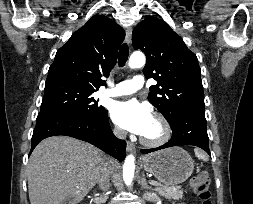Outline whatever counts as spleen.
<instances>
[{
    "mask_svg": "<svg viewBox=\"0 0 253 204\" xmlns=\"http://www.w3.org/2000/svg\"><path fill=\"white\" fill-rule=\"evenodd\" d=\"M195 155L204 161H208V156L199 149H194Z\"/></svg>",
    "mask_w": 253,
    "mask_h": 204,
    "instance_id": "1",
    "label": "spleen"
}]
</instances>
